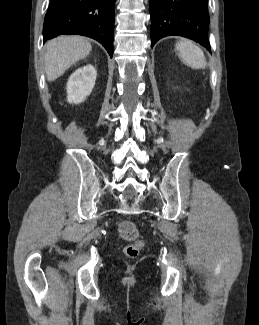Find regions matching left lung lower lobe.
I'll use <instances>...</instances> for the list:
<instances>
[{"mask_svg":"<svg viewBox=\"0 0 259 325\" xmlns=\"http://www.w3.org/2000/svg\"><path fill=\"white\" fill-rule=\"evenodd\" d=\"M151 45L171 35L192 39L210 51L208 0H150Z\"/></svg>","mask_w":259,"mask_h":325,"instance_id":"obj_1","label":"left lung lower lobe"}]
</instances>
